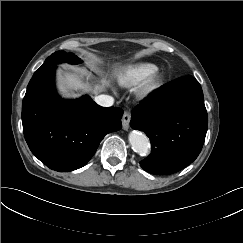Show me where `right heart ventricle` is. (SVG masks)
<instances>
[{
  "label": "right heart ventricle",
  "instance_id": "1",
  "mask_svg": "<svg viewBox=\"0 0 243 243\" xmlns=\"http://www.w3.org/2000/svg\"><path fill=\"white\" fill-rule=\"evenodd\" d=\"M156 69V65L148 62L129 65L118 74L117 83L122 87H132L142 82Z\"/></svg>",
  "mask_w": 243,
  "mask_h": 243
}]
</instances>
